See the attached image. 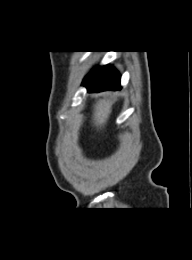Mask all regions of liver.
<instances>
[{"label": "liver", "instance_id": "6515ba94", "mask_svg": "<svg viewBox=\"0 0 192 260\" xmlns=\"http://www.w3.org/2000/svg\"><path fill=\"white\" fill-rule=\"evenodd\" d=\"M113 103L106 98L99 99L93 108V123L96 127L106 124L112 110Z\"/></svg>", "mask_w": 192, "mask_h": 260}]
</instances>
